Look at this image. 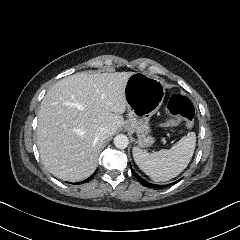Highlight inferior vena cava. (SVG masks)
I'll list each match as a JSON object with an SVG mask.
<instances>
[{
	"instance_id": "inferior-vena-cava-1",
	"label": "inferior vena cava",
	"mask_w": 240,
	"mask_h": 240,
	"mask_svg": "<svg viewBox=\"0 0 240 240\" xmlns=\"http://www.w3.org/2000/svg\"><path fill=\"white\" fill-rule=\"evenodd\" d=\"M107 134H108V130L106 128H99L97 131H96V136L98 139L100 140H105L107 138Z\"/></svg>"
}]
</instances>
